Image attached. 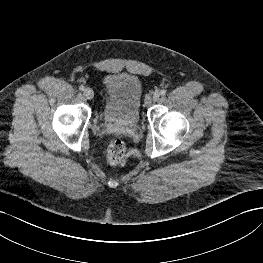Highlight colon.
<instances>
[{
  "label": "colon",
  "mask_w": 263,
  "mask_h": 263,
  "mask_svg": "<svg viewBox=\"0 0 263 263\" xmlns=\"http://www.w3.org/2000/svg\"><path fill=\"white\" fill-rule=\"evenodd\" d=\"M125 153V143L120 139L114 140L108 147L107 160L111 165H116L123 160Z\"/></svg>",
  "instance_id": "1"
}]
</instances>
